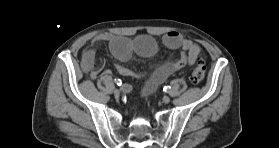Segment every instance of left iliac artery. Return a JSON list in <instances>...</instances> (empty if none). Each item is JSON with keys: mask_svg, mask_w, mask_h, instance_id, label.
Instances as JSON below:
<instances>
[{"mask_svg": "<svg viewBox=\"0 0 279 148\" xmlns=\"http://www.w3.org/2000/svg\"><path fill=\"white\" fill-rule=\"evenodd\" d=\"M170 86H165L164 88H163V91H165V92H169L170 91Z\"/></svg>", "mask_w": 279, "mask_h": 148, "instance_id": "1", "label": "left iliac artery"}]
</instances>
